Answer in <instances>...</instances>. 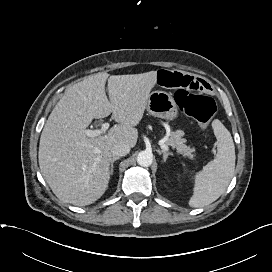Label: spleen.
<instances>
[{
	"mask_svg": "<svg viewBox=\"0 0 272 272\" xmlns=\"http://www.w3.org/2000/svg\"><path fill=\"white\" fill-rule=\"evenodd\" d=\"M217 139V155L194 176V192L189 206L199 208L216 201L228 187L235 169V147L228 129L218 120L212 122Z\"/></svg>",
	"mask_w": 272,
	"mask_h": 272,
	"instance_id": "3e777b00",
	"label": "spleen"
}]
</instances>
